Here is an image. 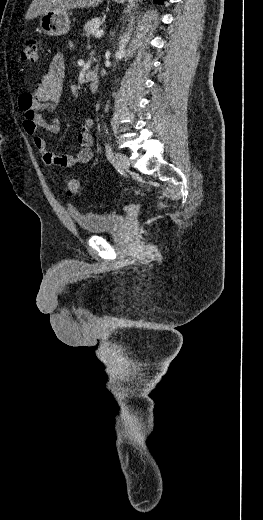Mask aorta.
Segmentation results:
<instances>
[{
	"mask_svg": "<svg viewBox=\"0 0 263 520\" xmlns=\"http://www.w3.org/2000/svg\"><path fill=\"white\" fill-rule=\"evenodd\" d=\"M129 39H130V33L128 32L122 37L121 41L119 42L118 50L115 53L116 61L121 59V57L123 56V54L125 52V47H126L127 43L129 42Z\"/></svg>",
	"mask_w": 263,
	"mask_h": 520,
	"instance_id": "obj_1",
	"label": "aorta"
}]
</instances>
